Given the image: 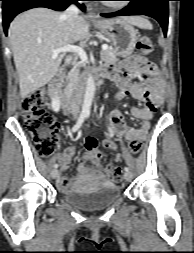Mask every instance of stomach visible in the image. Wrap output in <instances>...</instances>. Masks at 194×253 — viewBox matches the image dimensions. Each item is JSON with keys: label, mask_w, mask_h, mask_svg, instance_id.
<instances>
[{"label": "stomach", "mask_w": 194, "mask_h": 253, "mask_svg": "<svg viewBox=\"0 0 194 253\" xmlns=\"http://www.w3.org/2000/svg\"><path fill=\"white\" fill-rule=\"evenodd\" d=\"M95 27L112 42L114 49L122 57L131 55L137 43V30L123 18L102 20Z\"/></svg>", "instance_id": "0dacf381"}]
</instances>
